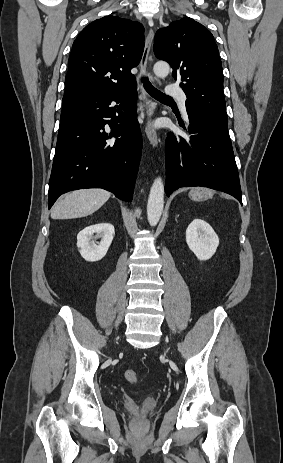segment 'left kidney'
I'll return each mask as SVG.
<instances>
[{"label": "left kidney", "instance_id": "obj_1", "mask_svg": "<svg viewBox=\"0 0 283 463\" xmlns=\"http://www.w3.org/2000/svg\"><path fill=\"white\" fill-rule=\"evenodd\" d=\"M189 249L201 260L210 259L219 245V238L213 228L202 219H194L186 230Z\"/></svg>", "mask_w": 283, "mask_h": 463}]
</instances>
